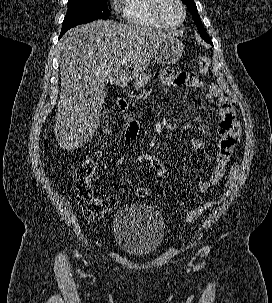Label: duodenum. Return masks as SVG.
<instances>
[{"label":"duodenum","mask_w":272,"mask_h":303,"mask_svg":"<svg viewBox=\"0 0 272 303\" xmlns=\"http://www.w3.org/2000/svg\"><path fill=\"white\" fill-rule=\"evenodd\" d=\"M128 82V76L127 75H119L115 78L114 80V85L117 87V88H123L126 86ZM118 105L120 107V109L122 111H126L128 109V104L126 102V100L123 98V97H119L118 98ZM133 122L132 121L130 124H129V128H131L133 126Z\"/></svg>","instance_id":"obj_1"}]
</instances>
